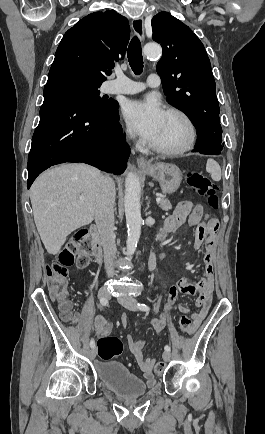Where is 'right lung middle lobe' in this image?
<instances>
[{
    "label": "right lung middle lobe",
    "instance_id": "right-lung-middle-lobe-1",
    "mask_svg": "<svg viewBox=\"0 0 265 434\" xmlns=\"http://www.w3.org/2000/svg\"><path fill=\"white\" fill-rule=\"evenodd\" d=\"M102 82L92 78L72 74H56L48 76L46 86H63L70 89L78 97L82 98L86 105L96 113L113 112L118 103L99 96L98 88Z\"/></svg>",
    "mask_w": 265,
    "mask_h": 434
}]
</instances>
